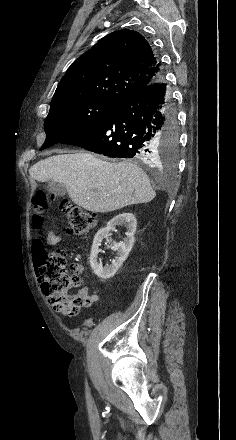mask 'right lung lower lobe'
Masks as SVG:
<instances>
[{"label":"right lung lower lobe","mask_w":236,"mask_h":440,"mask_svg":"<svg viewBox=\"0 0 236 440\" xmlns=\"http://www.w3.org/2000/svg\"><path fill=\"white\" fill-rule=\"evenodd\" d=\"M157 65L160 67V63ZM177 120L162 76L133 95L91 128L63 143L112 158L150 161L162 132L176 130Z\"/></svg>","instance_id":"1"}]
</instances>
